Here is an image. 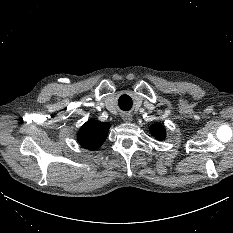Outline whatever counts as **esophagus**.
Masks as SVG:
<instances>
[{"mask_svg": "<svg viewBox=\"0 0 233 233\" xmlns=\"http://www.w3.org/2000/svg\"><path fill=\"white\" fill-rule=\"evenodd\" d=\"M122 119L125 121V122H130L132 121V114L130 113H124L122 115Z\"/></svg>", "mask_w": 233, "mask_h": 233, "instance_id": "obj_1", "label": "esophagus"}]
</instances>
